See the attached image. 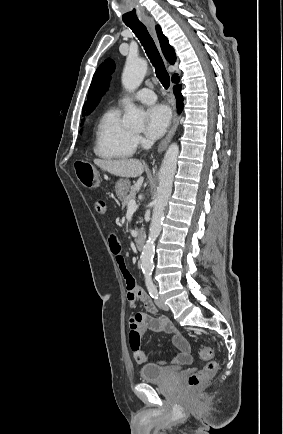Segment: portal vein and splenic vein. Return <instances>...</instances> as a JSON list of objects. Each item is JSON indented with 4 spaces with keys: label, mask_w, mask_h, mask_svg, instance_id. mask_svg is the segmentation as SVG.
I'll return each mask as SVG.
<instances>
[{
    "label": "portal vein and splenic vein",
    "mask_w": 283,
    "mask_h": 434,
    "mask_svg": "<svg viewBox=\"0 0 283 434\" xmlns=\"http://www.w3.org/2000/svg\"><path fill=\"white\" fill-rule=\"evenodd\" d=\"M137 208H138V206H137L135 200H131L128 204L127 212L133 213L137 210Z\"/></svg>",
    "instance_id": "portal-vein-and-splenic-vein-1"
}]
</instances>
